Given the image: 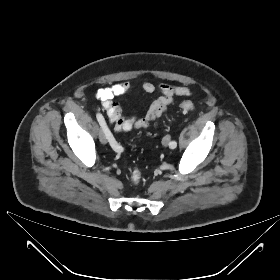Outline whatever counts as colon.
<instances>
[{"label":"colon","mask_w":280,"mask_h":280,"mask_svg":"<svg viewBox=\"0 0 280 280\" xmlns=\"http://www.w3.org/2000/svg\"><path fill=\"white\" fill-rule=\"evenodd\" d=\"M182 109L186 111H191L194 109V104L191 101H183L181 103ZM142 179V173L139 170H134L131 176V180L133 183L137 184L141 181Z\"/></svg>","instance_id":"colon-1"}]
</instances>
